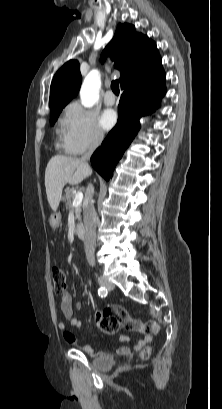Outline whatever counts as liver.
Here are the masks:
<instances>
[{
    "instance_id": "1",
    "label": "liver",
    "mask_w": 222,
    "mask_h": 409,
    "mask_svg": "<svg viewBox=\"0 0 222 409\" xmlns=\"http://www.w3.org/2000/svg\"><path fill=\"white\" fill-rule=\"evenodd\" d=\"M92 171L79 158L63 155L53 156L45 170V188L51 209H58L64 186L78 185Z\"/></svg>"
}]
</instances>
